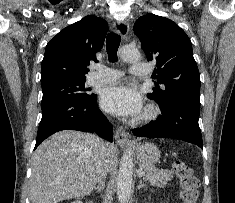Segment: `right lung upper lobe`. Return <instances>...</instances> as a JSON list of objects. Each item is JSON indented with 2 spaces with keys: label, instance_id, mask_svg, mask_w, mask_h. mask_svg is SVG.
Masks as SVG:
<instances>
[{
  "label": "right lung upper lobe",
  "instance_id": "1",
  "mask_svg": "<svg viewBox=\"0 0 235 203\" xmlns=\"http://www.w3.org/2000/svg\"><path fill=\"white\" fill-rule=\"evenodd\" d=\"M108 24L106 20L89 15L64 28L46 46L41 66V85L59 81L86 80L87 66L96 61Z\"/></svg>",
  "mask_w": 235,
  "mask_h": 203
}]
</instances>
